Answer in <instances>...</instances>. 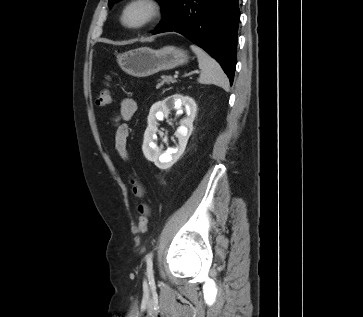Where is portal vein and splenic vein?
Here are the masks:
<instances>
[{
    "label": "portal vein and splenic vein",
    "mask_w": 363,
    "mask_h": 317,
    "mask_svg": "<svg viewBox=\"0 0 363 317\" xmlns=\"http://www.w3.org/2000/svg\"><path fill=\"white\" fill-rule=\"evenodd\" d=\"M193 73H199V71L198 70H196V71H194ZM174 78L176 79V78H178V75L177 74H175L174 75Z\"/></svg>",
    "instance_id": "1"
}]
</instances>
